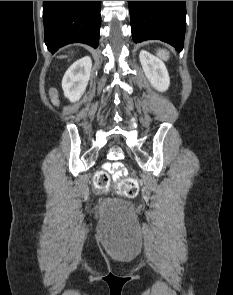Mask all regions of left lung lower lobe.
<instances>
[{"instance_id": "0a47b994", "label": "left lung lower lobe", "mask_w": 233, "mask_h": 295, "mask_svg": "<svg viewBox=\"0 0 233 295\" xmlns=\"http://www.w3.org/2000/svg\"><path fill=\"white\" fill-rule=\"evenodd\" d=\"M134 42L158 39L183 49L186 1H128Z\"/></svg>"}]
</instances>
